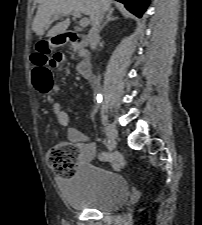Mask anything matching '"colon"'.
I'll use <instances>...</instances> for the list:
<instances>
[{
    "label": "colon",
    "mask_w": 202,
    "mask_h": 225,
    "mask_svg": "<svg viewBox=\"0 0 202 225\" xmlns=\"http://www.w3.org/2000/svg\"><path fill=\"white\" fill-rule=\"evenodd\" d=\"M35 68L32 72L33 84L36 90L47 94L52 90L51 69L58 68L63 62L64 54L61 52L50 53L45 45L35 53ZM78 149L75 145L67 143L63 146L55 145L47 152V162L50 168L62 178L71 176L77 169ZM113 169L119 171L124 166L121 154L113 152L105 156Z\"/></svg>",
    "instance_id": "1"
}]
</instances>
